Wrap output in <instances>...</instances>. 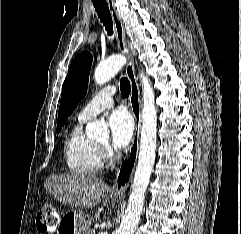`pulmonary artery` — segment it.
<instances>
[{
    "label": "pulmonary artery",
    "instance_id": "pulmonary-artery-1",
    "mask_svg": "<svg viewBox=\"0 0 241 234\" xmlns=\"http://www.w3.org/2000/svg\"><path fill=\"white\" fill-rule=\"evenodd\" d=\"M115 92L114 86H106L100 90L79 112L78 120L85 122L111 107Z\"/></svg>",
    "mask_w": 241,
    "mask_h": 234
}]
</instances>
